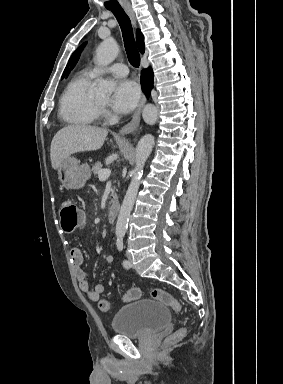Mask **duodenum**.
I'll return each mask as SVG.
<instances>
[{
  "mask_svg": "<svg viewBox=\"0 0 283 384\" xmlns=\"http://www.w3.org/2000/svg\"><path fill=\"white\" fill-rule=\"evenodd\" d=\"M119 215V205L116 203L113 207L108 211L107 218L110 223H115L117 221Z\"/></svg>",
  "mask_w": 283,
  "mask_h": 384,
  "instance_id": "410a0bca",
  "label": "duodenum"
}]
</instances>
